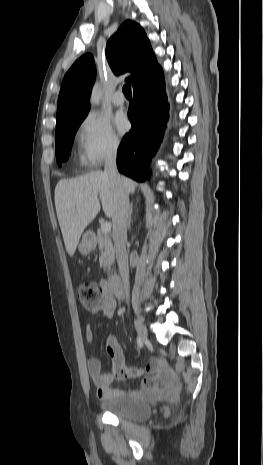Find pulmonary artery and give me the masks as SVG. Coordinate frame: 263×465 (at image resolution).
Masks as SVG:
<instances>
[{
	"instance_id": "e3ab8cb5",
	"label": "pulmonary artery",
	"mask_w": 263,
	"mask_h": 465,
	"mask_svg": "<svg viewBox=\"0 0 263 465\" xmlns=\"http://www.w3.org/2000/svg\"><path fill=\"white\" fill-rule=\"evenodd\" d=\"M112 102L115 106H122L125 103V99L121 91H117L113 95Z\"/></svg>"
}]
</instances>
